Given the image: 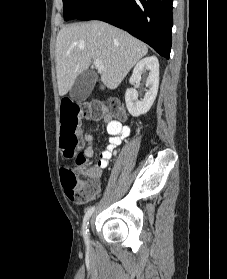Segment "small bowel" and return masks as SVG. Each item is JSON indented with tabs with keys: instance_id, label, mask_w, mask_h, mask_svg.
I'll return each mask as SVG.
<instances>
[{
	"instance_id": "1",
	"label": "small bowel",
	"mask_w": 227,
	"mask_h": 279,
	"mask_svg": "<svg viewBox=\"0 0 227 279\" xmlns=\"http://www.w3.org/2000/svg\"><path fill=\"white\" fill-rule=\"evenodd\" d=\"M103 122L106 124V131L109 135L108 145L105 148V150H103L100 153L98 161L92 164L86 170L87 176L89 178L94 179L97 184V191L94 195L99 193V179L101 177L102 170L108 167L114 151L129 135L130 132V129L127 125H124L121 122L114 120L111 114L109 113H106L104 115ZM84 141L87 143V146L84 150V154L87 158H92L94 155L93 136L91 134H86L84 136Z\"/></svg>"
}]
</instances>
